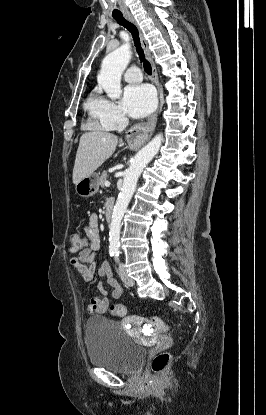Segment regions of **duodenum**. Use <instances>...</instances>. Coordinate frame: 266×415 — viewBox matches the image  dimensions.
Returning a JSON list of instances; mask_svg holds the SVG:
<instances>
[{"mask_svg":"<svg viewBox=\"0 0 266 415\" xmlns=\"http://www.w3.org/2000/svg\"><path fill=\"white\" fill-rule=\"evenodd\" d=\"M114 211V202L113 200H108L105 205V217L108 222L111 221Z\"/></svg>","mask_w":266,"mask_h":415,"instance_id":"obj_1","label":"duodenum"}]
</instances>
